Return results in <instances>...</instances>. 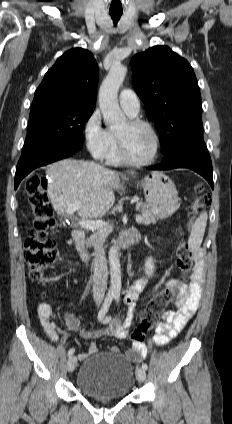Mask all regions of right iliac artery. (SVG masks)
I'll return each mask as SVG.
<instances>
[{
	"label": "right iliac artery",
	"mask_w": 232,
	"mask_h": 424,
	"mask_svg": "<svg viewBox=\"0 0 232 424\" xmlns=\"http://www.w3.org/2000/svg\"><path fill=\"white\" fill-rule=\"evenodd\" d=\"M113 298H114V294L113 293H108L106 295V298L104 300V303H103V305H102V307H101V309H100V311L98 313V320L99 321H101L104 318V316L106 315V313H107V311H108V309H109V307H110V305L112 303ZM74 352H75V349L74 348H71L68 351V356H71Z\"/></svg>",
	"instance_id": "1"
}]
</instances>
